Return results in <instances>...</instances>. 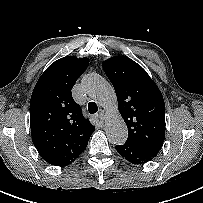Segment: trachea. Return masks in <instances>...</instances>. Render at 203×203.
I'll return each mask as SVG.
<instances>
[{
  "label": "trachea",
  "mask_w": 203,
  "mask_h": 203,
  "mask_svg": "<svg viewBox=\"0 0 203 203\" xmlns=\"http://www.w3.org/2000/svg\"><path fill=\"white\" fill-rule=\"evenodd\" d=\"M88 111L90 114H95L98 111L97 104L95 102H90L88 104Z\"/></svg>",
  "instance_id": "1"
}]
</instances>
